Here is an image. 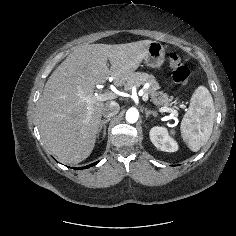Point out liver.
<instances>
[{"label": "liver", "mask_w": 236, "mask_h": 236, "mask_svg": "<svg viewBox=\"0 0 236 236\" xmlns=\"http://www.w3.org/2000/svg\"><path fill=\"white\" fill-rule=\"evenodd\" d=\"M151 42L82 44L53 71L38 101V125L44 145L61 162L78 164L91 154L104 106L88 101L95 97V86L109 78L115 86L124 85Z\"/></svg>", "instance_id": "1"}]
</instances>
